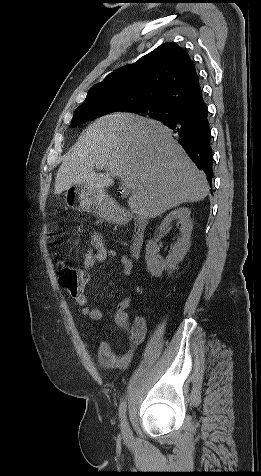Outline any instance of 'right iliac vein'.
<instances>
[{
    "label": "right iliac vein",
    "mask_w": 261,
    "mask_h": 476,
    "mask_svg": "<svg viewBox=\"0 0 261 476\" xmlns=\"http://www.w3.org/2000/svg\"><path fill=\"white\" fill-rule=\"evenodd\" d=\"M121 431H122L123 436L126 437V438H128L131 434L130 427H129L128 422L126 420L122 421Z\"/></svg>",
    "instance_id": "63e3f726"
}]
</instances>
